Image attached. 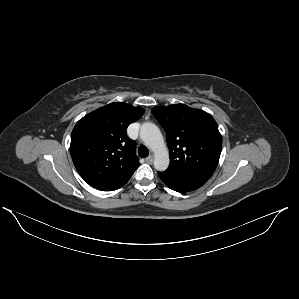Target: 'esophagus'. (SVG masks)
I'll list each match as a JSON object with an SVG mask.
<instances>
[{"label": "esophagus", "mask_w": 299, "mask_h": 299, "mask_svg": "<svg viewBox=\"0 0 299 299\" xmlns=\"http://www.w3.org/2000/svg\"><path fill=\"white\" fill-rule=\"evenodd\" d=\"M145 161L148 163V164H152L153 162V156H149L145 159Z\"/></svg>", "instance_id": "34e87169"}]
</instances>
